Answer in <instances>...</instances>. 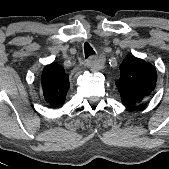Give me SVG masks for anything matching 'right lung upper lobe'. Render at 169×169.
<instances>
[{"mask_svg": "<svg viewBox=\"0 0 169 169\" xmlns=\"http://www.w3.org/2000/svg\"><path fill=\"white\" fill-rule=\"evenodd\" d=\"M42 84L47 102L54 106L63 104L69 89V82L68 76L60 65L50 64L44 68Z\"/></svg>", "mask_w": 169, "mask_h": 169, "instance_id": "1", "label": "right lung upper lobe"}]
</instances>
